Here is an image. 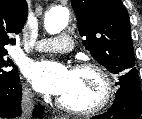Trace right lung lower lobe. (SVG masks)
I'll return each mask as SVG.
<instances>
[{
	"instance_id": "obj_1",
	"label": "right lung lower lobe",
	"mask_w": 142,
	"mask_h": 119,
	"mask_svg": "<svg viewBox=\"0 0 142 119\" xmlns=\"http://www.w3.org/2000/svg\"><path fill=\"white\" fill-rule=\"evenodd\" d=\"M21 95L19 80L8 87H0V117L11 118L20 115ZM42 112L43 108L38 105L34 115L42 116Z\"/></svg>"
}]
</instances>
